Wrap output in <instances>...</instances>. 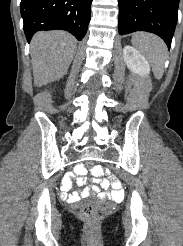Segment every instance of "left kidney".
I'll return each mask as SVG.
<instances>
[{
  "label": "left kidney",
  "mask_w": 183,
  "mask_h": 246,
  "mask_svg": "<svg viewBox=\"0 0 183 246\" xmlns=\"http://www.w3.org/2000/svg\"><path fill=\"white\" fill-rule=\"evenodd\" d=\"M123 57L127 67L136 74L147 76L150 73L148 61L136 49L127 45L123 49Z\"/></svg>",
  "instance_id": "left-kidney-1"
}]
</instances>
